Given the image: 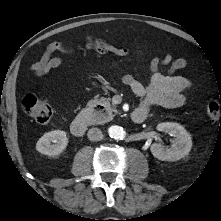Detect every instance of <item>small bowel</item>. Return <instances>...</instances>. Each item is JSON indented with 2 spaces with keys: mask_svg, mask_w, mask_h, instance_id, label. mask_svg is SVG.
Masks as SVG:
<instances>
[{
  "mask_svg": "<svg viewBox=\"0 0 221 221\" xmlns=\"http://www.w3.org/2000/svg\"><path fill=\"white\" fill-rule=\"evenodd\" d=\"M57 51L69 53L71 49L59 42L48 44L41 58L32 64V72L41 77L50 70L61 66L63 59L59 56H53ZM110 51L119 57H127L130 54V51L124 47H114ZM187 64L184 58L172 59L170 54L163 58L153 57L150 61L151 74L147 86L130 74L124 75L122 82L142 99L138 109L148 112L155 105L171 108L180 107L185 104L186 93L191 89L192 84L188 79L174 73L185 68ZM164 66H168L167 73L161 71Z\"/></svg>",
  "mask_w": 221,
  "mask_h": 221,
  "instance_id": "1",
  "label": "small bowel"
}]
</instances>
